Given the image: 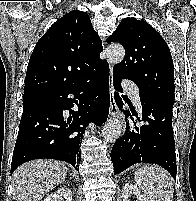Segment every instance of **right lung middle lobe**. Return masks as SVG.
<instances>
[{"label":"right lung middle lobe","instance_id":"right-lung-middle-lobe-1","mask_svg":"<svg viewBox=\"0 0 196 201\" xmlns=\"http://www.w3.org/2000/svg\"><path fill=\"white\" fill-rule=\"evenodd\" d=\"M35 97V96H34ZM33 97H23V101H26V100H29V99H32Z\"/></svg>","mask_w":196,"mask_h":201}]
</instances>
